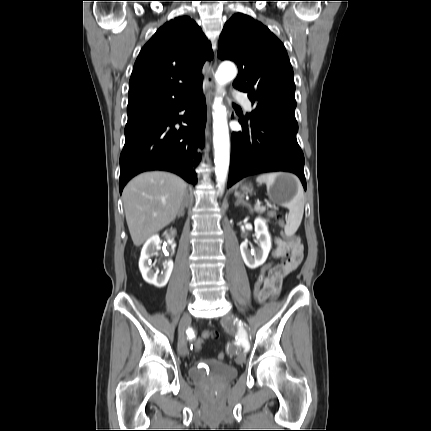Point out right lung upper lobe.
Returning a JSON list of instances; mask_svg holds the SVG:
<instances>
[{
  "label": "right lung upper lobe",
  "mask_w": 431,
  "mask_h": 431,
  "mask_svg": "<svg viewBox=\"0 0 431 431\" xmlns=\"http://www.w3.org/2000/svg\"><path fill=\"white\" fill-rule=\"evenodd\" d=\"M213 57L200 27L178 17L141 49L129 82L128 120L174 108L201 88V69Z\"/></svg>",
  "instance_id": "right-lung-upper-lobe-1"
}]
</instances>
